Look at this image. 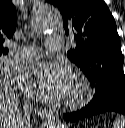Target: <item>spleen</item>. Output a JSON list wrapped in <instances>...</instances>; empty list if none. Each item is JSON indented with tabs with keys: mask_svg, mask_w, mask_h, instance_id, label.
<instances>
[{
	"mask_svg": "<svg viewBox=\"0 0 125 128\" xmlns=\"http://www.w3.org/2000/svg\"><path fill=\"white\" fill-rule=\"evenodd\" d=\"M113 128H125V116H118L113 123Z\"/></svg>",
	"mask_w": 125,
	"mask_h": 128,
	"instance_id": "obj_1",
	"label": "spleen"
}]
</instances>
